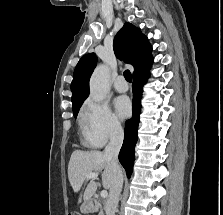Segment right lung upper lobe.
<instances>
[{"label": "right lung upper lobe", "mask_w": 223, "mask_h": 215, "mask_svg": "<svg viewBox=\"0 0 223 215\" xmlns=\"http://www.w3.org/2000/svg\"><path fill=\"white\" fill-rule=\"evenodd\" d=\"M113 48L116 56L125 63L134 66L133 76L150 69L153 62L152 47L146 36L130 23H125L116 34ZM97 57L94 53L84 55L78 62L71 83L72 109L80 107L89 95V79L96 67Z\"/></svg>", "instance_id": "right-lung-upper-lobe-1"}]
</instances>
